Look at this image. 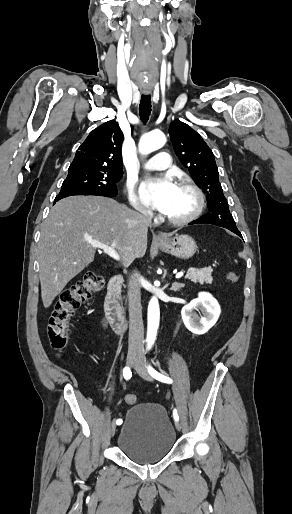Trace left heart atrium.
Wrapping results in <instances>:
<instances>
[{
    "mask_svg": "<svg viewBox=\"0 0 292 514\" xmlns=\"http://www.w3.org/2000/svg\"><path fill=\"white\" fill-rule=\"evenodd\" d=\"M178 186L171 176L151 179L143 183L141 194L147 205L155 210L165 212L173 201Z\"/></svg>",
    "mask_w": 292,
    "mask_h": 514,
    "instance_id": "39dd6f15",
    "label": "left heart atrium"
}]
</instances>
